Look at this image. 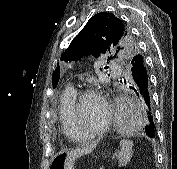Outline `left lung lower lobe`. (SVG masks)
I'll list each match as a JSON object with an SVG mask.
<instances>
[{
	"label": "left lung lower lobe",
	"mask_w": 177,
	"mask_h": 169,
	"mask_svg": "<svg viewBox=\"0 0 177 169\" xmlns=\"http://www.w3.org/2000/svg\"><path fill=\"white\" fill-rule=\"evenodd\" d=\"M128 69L135 87L133 90L137 92L140 103L145 109L147 124L144 128V133L154 138L156 135L155 124L153 121L152 104L149 89V77L145 59L142 55L136 54L128 62Z\"/></svg>",
	"instance_id": "0a47b994"
}]
</instances>
